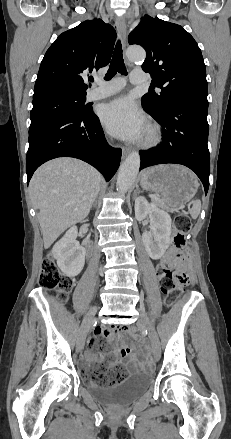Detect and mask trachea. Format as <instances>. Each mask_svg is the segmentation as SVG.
Instances as JSON below:
<instances>
[{
  "label": "trachea",
  "mask_w": 231,
  "mask_h": 439,
  "mask_svg": "<svg viewBox=\"0 0 231 439\" xmlns=\"http://www.w3.org/2000/svg\"><path fill=\"white\" fill-rule=\"evenodd\" d=\"M117 72L121 73L122 75H127L126 67L123 60L122 45L120 41L116 43L109 70L105 75V80H110Z\"/></svg>",
  "instance_id": "obj_1"
}]
</instances>
